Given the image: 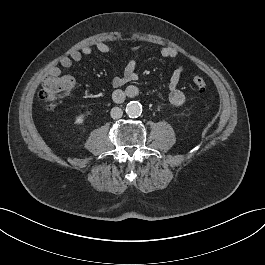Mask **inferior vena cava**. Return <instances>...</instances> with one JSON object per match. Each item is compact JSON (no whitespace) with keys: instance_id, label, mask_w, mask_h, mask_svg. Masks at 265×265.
Wrapping results in <instances>:
<instances>
[{"instance_id":"obj_1","label":"inferior vena cava","mask_w":265,"mask_h":265,"mask_svg":"<svg viewBox=\"0 0 265 265\" xmlns=\"http://www.w3.org/2000/svg\"><path fill=\"white\" fill-rule=\"evenodd\" d=\"M110 115H111V117H112L113 119H119V118L122 117V115H123V111H122V109L119 108V107H113V108L111 109Z\"/></svg>"}]
</instances>
